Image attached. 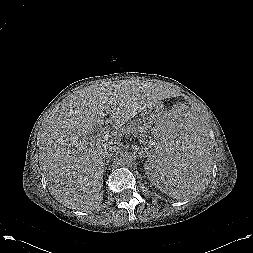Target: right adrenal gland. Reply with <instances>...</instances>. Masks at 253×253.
Segmentation results:
<instances>
[{
  "instance_id": "obj_1",
  "label": "right adrenal gland",
  "mask_w": 253,
  "mask_h": 253,
  "mask_svg": "<svg viewBox=\"0 0 253 253\" xmlns=\"http://www.w3.org/2000/svg\"><path fill=\"white\" fill-rule=\"evenodd\" d=\"M110 158L111 157H108L107 160L105 161V163H104V170H106V166L109 164Z\"/></svg>"
}]
</instances>
